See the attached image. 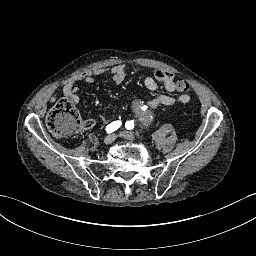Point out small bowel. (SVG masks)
<instances>
[{
	"mask_svg": "<svg viewBox=\"0 0 256 256\" xmlns=\"http://www.w3.org/2000/svg\"><path fill=\"white\" fill-rule=\"evenodd\" d=\"M110 73L112 80L120 85L124 82L126 78V66L123 64L116 65L110 69L106 68H96L93 70H89L83 73H80L64 83L63 93L64 95L75 105H78L80 102L78 92V82H84L91 84L95 81V79L103 74ZM182 80L176 81L174 74L167 71L158 69L156 70L152 76H148L145 78L144 83L148 90L156 91L158 88V82H160L167 94L158 95L152 102L147 104V109L152 112L157 111L161 106H170L174 103H188L190 101V96L186 93L187 90H184L179 86ZM178 91L181 92L177 97H173L170 94ZM56 100L55 96H52L51 101L54 102ZM103 121L106 120L105 117L101 116Z\"/></svg>",
	"mask_w": 256,
	"mask_h": 256,
	"instance_id": "obj_1",
	"label": "small bowel"
}]
</instances>
